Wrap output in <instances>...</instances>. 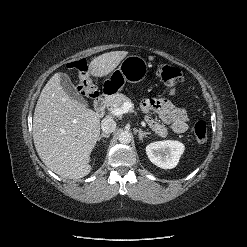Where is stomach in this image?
<instances>
[{
  "mask_svg": "<svg viewBox=\"0 0 247 247\" xmlns=\"http://www.w3.org/2000/svg\"><path fill=\"white\" fill-rule=\"evenodd\" d=\"M149 64L138 55H129L114 70L110 78L105 82L107 92L114 93L121 90L126 82L138 83L146 78Z\"/></svg>",
  "mask_w": 247,
  "mask_h": 247,
  "instance_id": "obj_1",
  "label": "stomach"
}]
</instances>
